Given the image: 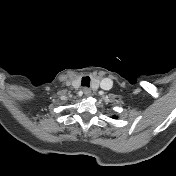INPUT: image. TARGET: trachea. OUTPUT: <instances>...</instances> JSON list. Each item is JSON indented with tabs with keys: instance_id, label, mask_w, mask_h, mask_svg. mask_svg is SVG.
Listing matches in <instances>:
<instances>
[{
	"instance_id": "3493384b",
	"label": "trachea",
	"mask_w": 176,
	"mask_h": 176,
	"mask_svg": "<svg viewBox=\"0 0 176 176\" xmlns=\"http://www.w3.org/2000/svg\"><path fill=\"white\" fill-rule=\"evenodd\" d=\"M81 85L83 87H89L90 86V77L89 76L82 77Z\"/></svg>"
}]
</instances>
